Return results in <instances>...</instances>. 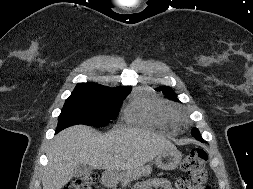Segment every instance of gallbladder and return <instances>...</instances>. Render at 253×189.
<instances>
[{
  "instance_id": "gallbladder-1",
  "label": "gallbladder",
  "mask_w": 253,
  "mask_h": 189,
  "mask_svg": "<svg viewBox=\"0 0 253 189\" xmlns=\"http://www.w3.org/2000/svg\"><path fill=\"white\" fill-rule=\"evenodd\" d=\"M93 170V167L88 164L80 163L76 165L74 169V176L75 177H81L84 175L89 174Z\"/></svg>"
}]
</instances>
